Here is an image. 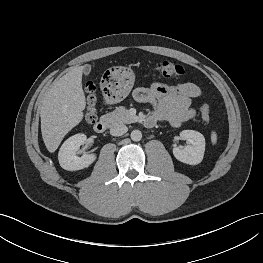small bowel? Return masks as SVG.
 I'll list each match as a JSON object with an SVG mask.
<instances>
[{
	"label": "small bowel",
	"mask_w": 263,
	"mask_h": 263,
	"mask_svg": "<svg viewBox=\"0 0 263 263\" xmlns=\"http://www.w3.org/2000/svg\"><path fill=\"white\" fill-rule=\"evenodd\" d=\"M201 94V89L194 83L174 85L153 83L149 87L135 89L133 97L137 102L149 104L152 107L148 117L154 120V124L161 121L173 127H179L194 118L196 113L191 108V102Z\"/></svg>",
	"instance_id": "small-bowel-1"
}]
</instances>
